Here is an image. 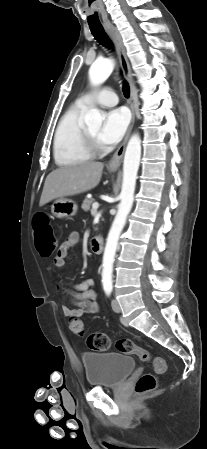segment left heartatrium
I'll return each instance as SVG.
<instances>
[{"mask_svg":"<svg viewBox=\"0 0 207 449\" xmlns=\"http://www.w3.org/2000/svg\"><path fill=\"white\" fill-rule=\"evenodd\" d=\"M130 116L125 108H117L105 115L103 126L99 133V141L106 145L117 143L124 135Z\"/></svg>","mask_w":207,"mask_h":449,"instance_id":"left-heart-atrium-1","label":"left heart atrium"}]
</instances>
